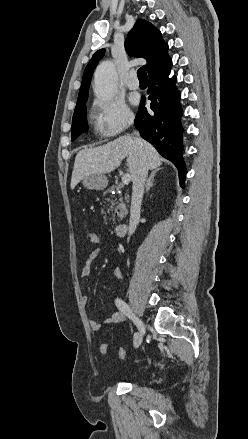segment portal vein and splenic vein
<instances>
[{
	"mask_svg": "<svg viewBox=\"0 0 248 439\" xmlns=\"http://www.w3.org/2000/svg\"><path fill=\"white\" fill-rule=\"evenodd\" d=\"M130 180H131V176L129 173H126L122 176V183L123 184H125V185L129 184Z\"/></svg>",
	"mask_w": 248,
	"mask_h": 439,
	"instance_id": "obj_1",
	"label": "portal vein and splenic vein"
}]
</instances>
